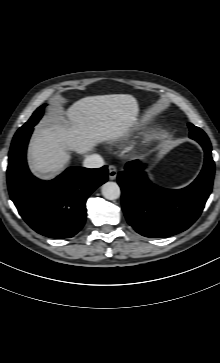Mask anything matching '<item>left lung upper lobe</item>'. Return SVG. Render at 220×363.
<instances>
[{
	"label": "left lung upper lobe",
	"mask_w": 220,
	"mask_h": 363,
	"mask_svg": "<svg viewBox=\"0 0 220 363\" xmlns=\"http://www.w3.org/2000/svg\"><path fill=\"white\" fill-rule=\"evenodd\" d=\"M189 128H190V137L191 138H203V139H207V135L198 127L192 125L191 123L188 124Z\"/></svg>",
	"instance_id": "obj_1"
}]
</instances>
